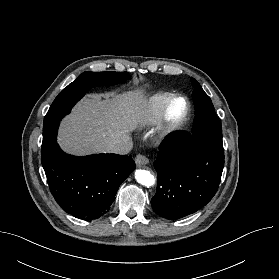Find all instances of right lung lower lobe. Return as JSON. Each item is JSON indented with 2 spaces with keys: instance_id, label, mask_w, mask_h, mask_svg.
<instances>
[{
  "instance_id": "right-lung-lower-lobe-1",
  "label": "right lung lower lobe",
  "mask_w": 279,
  "mask_h": 279,
  "mask_svg": "<svg viewBox=\"0 0 279 279\" xmlns=\"http://www.w3.org/2000/svg\"><path fill=\"white\" fill-rule=\"evenodd\" d=\"M42 166L56 202L82 220L107 213L120 184L136 168L131 156L76 157L64 153L57 143L42 157Z\"/></svg>"
}]
</instances>
